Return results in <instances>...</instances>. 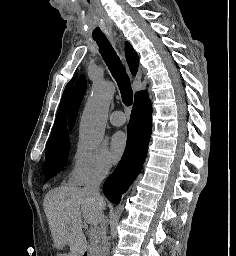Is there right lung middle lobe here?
Here are the masks:
<instances>
[{"mask_svg":"<svg viewBox=\"0 0 236 256\" xmlns=\"http://www.w3.org/2000/svg\"><path fill=\"white\" fill-rule=\"evenodd\" d=\"M69 148L70 141L68 137L47 143L45 150L46 179H49L61 170V167L66 163Z\"/></svg>","mask_w":236,"mask_h":256,"instance_id":"right-lung-middle-lobe-1","label":"right lung middle lobe"}]
</instances>
